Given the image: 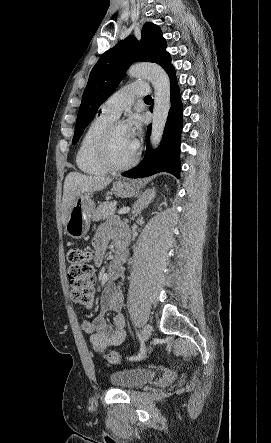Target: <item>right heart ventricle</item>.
<instances>
[{"instance_id": "1", "label": "right heart ventricle", "mask_w": 271, "mask_h": 443, "mask_svg": "<svg viewBox=\"0 0 271 443\" xmlns=\"http://www.w3.org/2000/svg\"><path fill=\"white\" fill-rule=\"evenodd\" d=\"M114 119L116 118L100 113L89 122L75 155L76 166L81 172L92 176L108 172L109 169L100 158L98 146L105 128Z\"/></svg>"}]
</instances>
